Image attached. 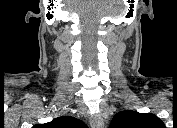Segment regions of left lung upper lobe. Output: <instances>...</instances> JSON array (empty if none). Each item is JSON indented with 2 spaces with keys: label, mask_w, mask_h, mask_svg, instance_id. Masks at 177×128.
Segmentation results:
<instances>
[{
  "label": "left lung upper lobe",
  "mask_w": 177,
  "mask_h": 128,
  "mask_svg": "<svg viewBox=\"0 0 177 128\" xmlns=\"http://www.w3.org/2000/svg\"><path fill=\"white\" fill-rule=\"evenodd\" d=\"M164 123L154 114L126 110L117 113L109 128H160Z\"/></svg>",
  "instance_id": "left-lung-upper-lobe-1"
}]
</instances>
